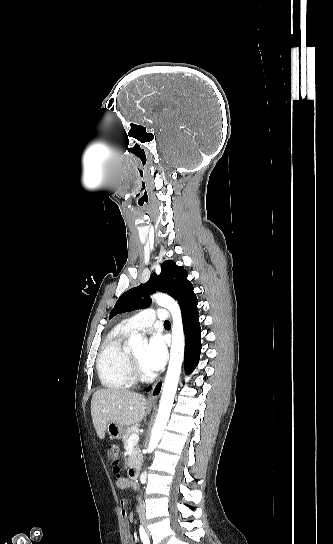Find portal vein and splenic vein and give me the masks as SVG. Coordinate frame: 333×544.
Segmentation results:
<instances>
[{
    "instance_id": "portal-vein-and-splenic-vein-1",
    "label": "portal vein and splenic vein",
    "mask_w": 333,
    "mask_h": 544,
    "mask_svg": "<svg viewBox=\"0 0 333 544\" xmlns=\"http://www.w3.org/2000/svg\"><path fill=\"white\" fill-rule=\"evenodd\" d=\"M138 440H139V435H138V433H134V434H132V435L129 437V439H128V444H135V443L138 442Z\"/></svg>"
}]
</instances>
